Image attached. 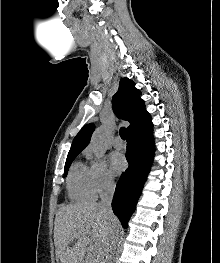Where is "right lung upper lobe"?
Returning a JSON list of instances; mask_svg holds the SVG:
<instances>
[{"instance_id":"cb5924a9","label":"right lung upper lobe","mask_w":220,"mask_h":263,"mask_svg":"<svg viewBox=\"0 0 220 263\" xmlns=\"http://www.w3.org/2000/svg\"><path fill=\"white\" fill-rule=\"evenodd\" d=\"M114 113L130 123L127 136L152 127L149 113L140 98V92L134 87L132 80L122 78L119 89L112 98ZM94 124L85 125L73 140L69 155L79 154L90 142Z\"/></svg>"}]
</instances>
